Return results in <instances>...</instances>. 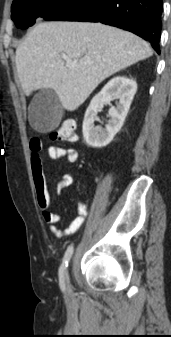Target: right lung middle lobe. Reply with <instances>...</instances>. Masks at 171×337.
Here are the masks:
<instances>
[{
	"instance_id": "right-lung-middle-lobe-1",
	"label": "right lung middle lobe",
	"mask_w": 171,
	"mask_h": 337,
	"mask_svg": "<svg viewBox=\"0 0 171 337\" xmlns=\"http://www.w3.org/2000/svg\"><path fill=\"white\" fill-rule=\"evenodd\" d=\"M68 0H14L11 18L17 28L32 26L39 18H46Z\"/></svg>"
}]
</instances>
